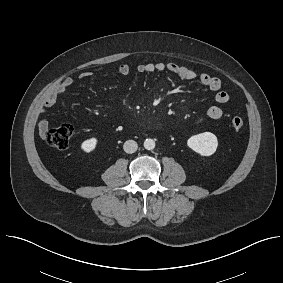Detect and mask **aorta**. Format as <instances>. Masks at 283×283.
Listing matches in <instances>:
<instances>
[{
    "mask_svg": "<svg viewBox=\"0 0 283 283\" xmlns=\"http://www.w3.org/2000/svg\"><path fill=\"white\" fill-rule=\"evenodd\" d=\"M144 148L147 150H153L155 148V141L153 139H146L144 141Z\"/></svg>",
    "mask_w": 283,
    "mask_h": 283,
    "instance_id": "1",
    "label": "aorta"
}]
</instances>
